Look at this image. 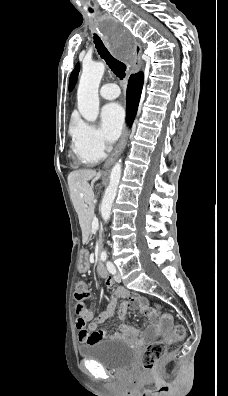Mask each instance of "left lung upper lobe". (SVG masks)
Instances as JSON below:
<instances>
[{"instance_id": "obj_1", "label": "left lung upper lobe", "mask_w": 228, "mask_h": 396, "mask_svg": "<svg viewBox=\"0 0 228 396\" xmlns=\"http://www.w3.org/2000/svg\"><path fill=\"white\" fill-rule=\"evenodd\" d=\"M79 70H80L79 64H77L76 67H75V69H74L73 72L71 73V76H70V80H69V91H71V90L74 88V86H75V84H76V82H77Z\"/></svg>"}]
</instances>
